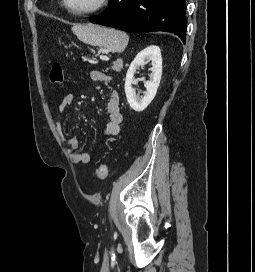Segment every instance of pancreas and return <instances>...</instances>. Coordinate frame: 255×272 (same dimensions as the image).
<instances>
[{"instance_id":"pancreas-1","label":"pancreas","mask_w":255,"mask_h":272,"mask_svg":"<svg viewBox=\"0 0 255 272\" xmlns=\"http://www.w3.org/2000/svg\"><path fill=\"white\" fill-rule=\"evenodd\" d=\"M122 67H123L122 62L116 61L113 63L112 69L116 72H119L121 71Z\"/></svg>"}]
</instances>
